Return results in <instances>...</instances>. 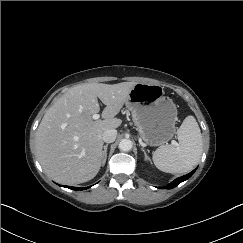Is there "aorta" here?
Masks as SVG:
<instances>
[{"instance_id":"aorta-1","label":"aorta","mask_w":243,"mask_h":243,"mask_svg":"<svg viewBox=\"0 0 243 243\" xmlns=\"http://www.w3.org/2000/svg\"><path fill=\"white\" fill-rule=\"evenodd\" d=\"M132 146V141L130 139H122L118 147L121 151H130Z\"/></svg>"}]
</instances>
